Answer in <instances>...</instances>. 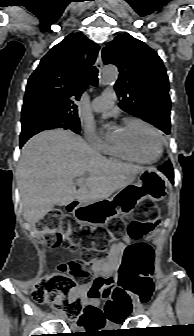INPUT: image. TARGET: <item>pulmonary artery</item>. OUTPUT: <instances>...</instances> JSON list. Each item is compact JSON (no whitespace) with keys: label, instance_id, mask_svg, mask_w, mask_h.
Segmentation results:
<instances>
[{"label":"pulmonary artery","instance_id":"obj_1","mask_svg":"<svg viewBox=\"0 0 194 336\" xmlns=\"http://www.w3.org/2000/svg\"><path fill=\"white\" fill-rule=\"evenodd\" d=\"M115 101V93L114 91L107 89L105 90L101 96L95 98L91 103V109L94 112H106Z\"/></svg>","mask_w":194,"mask_h":336}]
</instances>
